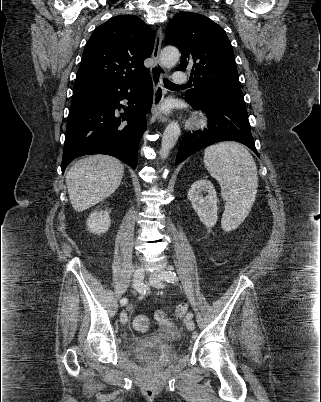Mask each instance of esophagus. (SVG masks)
I'll return each mask as SVG.
<instances>
[{
  "mask_svg": "<svg viewBox=\"0 0 321 402\" xmlns=\"http://www.w3.org/2000/svg\"><path fill=\"white\" fill-rule=\"evenodd\" d=\"M162 40L163 32L162 29L159 28L155 36L154 49L152 52L153 65L151 67V76L154 86L152 115L159 122L166 123L168 121V118L161 109V105L166 95V90L162 82V78L166 76V70L160 62V50Z\"/></svg>",
  "mask_w": 321,
  "mask_h": 402,
  "instance_id": "obj_1",
  "label": "esophagus"
}]
</instances>
